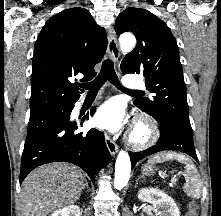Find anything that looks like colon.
<instances>
[{
	"label": "colon",
	"mask_w": 221,
	"mask_h": 216,
	"mask_svg": "<svg viewBox=\"0 0 221 216\" xmlns=\"http://www.w3.org/2000/svg\"><path fill=\"white\" fill-rule=\"evenodd\" d=\"M186 216H197L196 214V205L194 203H190L189 210Z\"/></svg>",
	"instance_id": "1"
}]
</instances>
